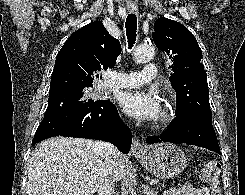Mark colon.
Instances as JSON below:
<instances>
[{
  "label": "colon",
  "mask_w": 245,
  "mask_h": 195,
  "mask_svg": "<svg viewBox=\"0 0 245 195\" xmlns=\"http://www.w3.org/2000/svg\"><path fill=\"white\" fill-rule=\"evenodd\" d=\"M217 171V167H211L204 173L203 179L206 183L203 191L204 195H221Z\"/></svg>",
  "instance_id": "5ec220e1"
}]
</instances>
